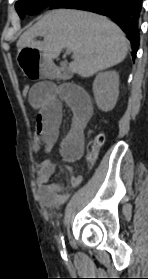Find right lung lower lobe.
Segmentation results:
<instances>
[{
	"mask_svg": "<svg viewBox=\"0 0 148 279\" xmlns=\"http://www.w3.org/2000/svg\"><path fill=\"white\" fill-rule=\"evenodd\" d=\"M142 0H58L49 6L92 11L112 18L127 34L133 59L139 47V18Z\"/></svg>",
	"mask_w": 148,
	"mask_h": 279,
	"instance_id": "obj_1",
	"label": "right lung lower lobe"
}]
</instances>
